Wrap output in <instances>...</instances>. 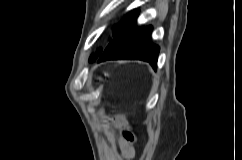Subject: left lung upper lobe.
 Listing matches in <instances>:
<instances>
[{
	"label": "left lung upper lobe",
	"instance_id": "1",
	"mask_svg": "<svg viewBox=\"0 0 242 160\" xmlns=\"http://www.w3.org/2000/svg\"><path fill=\"white\" fill-rule=\"evenodd\" d=\"M138 11H133L129 15H127L114 29L113 37H115L118 33H120L124 28L131 25L137 18ZM101 49L97 50L96 56L101 53ZM96 57L92 54L90 57V62L95 61Z\"/></svg>",
	"mask_w": 242,
	"mask_h": 160
}]
</instances>
